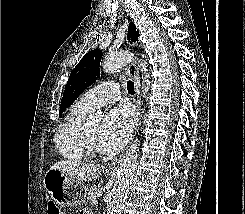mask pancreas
Returning a JSON list of instances; mask_svg holds the SVG:
<instances>
[{"label": "pancreas", "mask_w": 245, "mask_h": 214, "mask_svg": "<svg viewBox=\"0 0 245 214\" xmlns=\"http://www.w3.org/2000/svg\"><path fill=\"white\" fill-rule=\"evenodd\" d=\"M98 191H99V187L96 185H93L88 189L87 201L90 205L96 202V195Z\"/></svg>", "instance_id": "pancreas-1"}]
</instances>
